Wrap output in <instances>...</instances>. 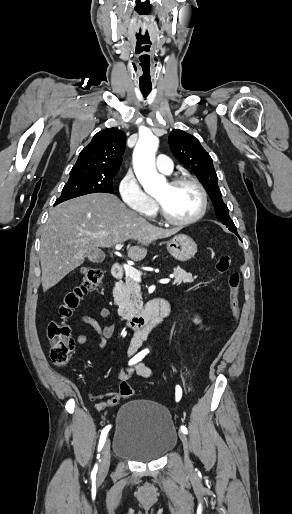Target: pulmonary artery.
<instances>
[{"mask_svg":"<svg viewBox=\"0 0 292 514\" xmlns=\"http://www.w3.org/2000/svg\"><path fill=\"white\" fill-rule=\"evenodd\" d=\"M157 157L160 160H162L157 163V170L166 175H169L172 172V158L166 156V154L163 151H160L157 154Z\"/></svg>","mask_w":292,"mask_h":514,"instance_id":"e3ab8cb5","label":"pulmonary artery"}]
</instances>
